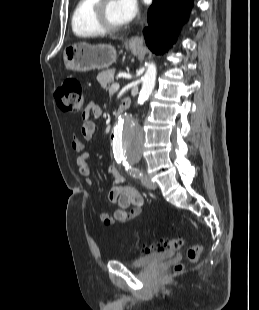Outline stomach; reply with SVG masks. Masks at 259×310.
<instances>
[{"label": "stomach", "mask_w": 259, "mask_h": 310, "mask_svg": "<svg viewBox=\"0 0 259 310\" xmlns=\"http://www.w3.org/2000/svg\"><path fill=\"white\" fill-rule=\"evenodd\" d=\"M133 54L137 55L139 48L130 46ZM64 64L67 69L87 72L94 69H106L116 61V50L107 44L90 45L76 43L65 48Z\"/></svg>", "instance_id": "1"}]
</instances>
